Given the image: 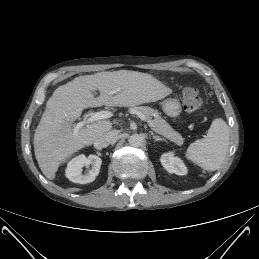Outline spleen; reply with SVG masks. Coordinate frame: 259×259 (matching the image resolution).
Here are the masks:
<instances>
[{
  "label": "spleen",
  "mask_w": 259,
  "mask_h": 259,
  "mask_svg": "<svg viewBox=\"0 0 259 259\" xmlns=\"http://www.w3.org/2000/svg\"><path fill=\"white\" fill-rule=\"evenodd\" d=\"M229 145V128L222 118H216L207 135L191 143L185 156L206 171H215L222 165Z\"/></svg>",
  "instance_id": "obj_1"
}]
</instances>
